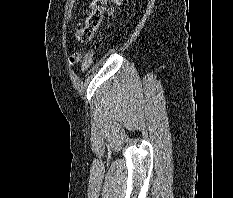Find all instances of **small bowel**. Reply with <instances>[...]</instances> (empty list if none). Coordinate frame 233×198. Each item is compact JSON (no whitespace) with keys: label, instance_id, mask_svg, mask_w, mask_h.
Masks as SVG:
<instances>
[{"label":"small bowel","instance_id":"small-bowel-1","mask_svg":"<svg viewBox=\"0 0 233 198\" xmlns=\"http://www.w3.org/2000/svg\"><path fill=\"white\" fill-rule=\"evenodd\" d=\"M98 27H99V26H98ZM98 27H97V28H98ZM97 28H96V29H97ZM75 58H76V60H77V59H79V56L77 55Z\"/></svg>","mask_w":233,"mask_h":198}]
</instances>
